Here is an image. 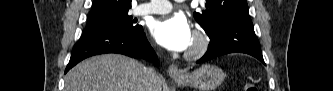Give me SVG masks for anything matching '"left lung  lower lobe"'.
Instances as JSON below:
<instances>
[{"instance_id":"0a47b994","label":"left lung lower lobe","mask_w":333,"mask_h":91,"mask_svg":"<svg viewBox=\"0 0 333 91\" xmlns=\"http://www.w3.org/2000/svg\"><path fill=\"white\" fill-rule=\"evenodd\" d=\"M209 38L208 50L197 61L198 63L229 53H246L264 63L260 44L255 35L250 17L237 18L225 22Z\"/></svg>"}]
</instances>
